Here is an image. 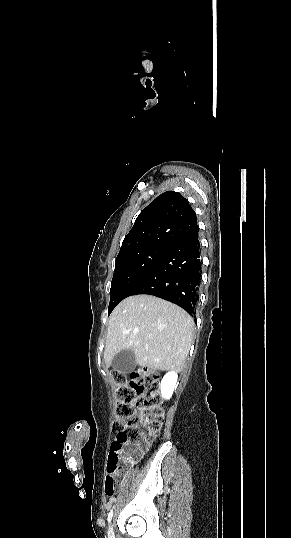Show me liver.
<instances>
[{
    "label": "liver",
    "mask_w": 291,
    "mask_h": 538,
    "mask_svg": "<svg viewBox=\"0 0 291 538\" xmlns=\"http://www.w3.org/2000/svg\"><path fill=\"white\" fill-rule=\"evenodd\" d=\"M193 327L192 317L175 304L152 295L128 297L110 316L105 363L129 349L141 367L179 372L190 350Z\"/></svg>",
    "instance_id": "liver-1"
}]
</instances>
